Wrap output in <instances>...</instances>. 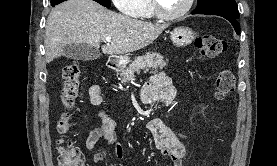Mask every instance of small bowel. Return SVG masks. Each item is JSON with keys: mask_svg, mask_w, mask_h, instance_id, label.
<instances>
[{"mask_svg": "<svg viewBox=\"0 0 277 166\" xmlns=\"http://www.w3.org/2000/svg\"><path fill=\"white\" fill-rule=\"evenodd\" d=\"M176 90L170 78L163 72L152 76L151 82L146 84L141 91V99L146 103L163 101L169 105L173 102ZM91 103L95 106L102 104L101 87L93 85L89 89ZM100 125L91 130L86 139V148L94 150L100 140L113 145L112 153L117 158L123 157L122 146L116 142L115 122L104 111H100ZM149 130L153 136L156 147L162 155L168 158L173 166H183V158L186 154V147L183 141L184 136L176 133L167 127L160 119H153L149 122ZM105 158L104 152H96L93 156L95 162Z\"/></svg>", "mask_w": 277, "mask_h": 166, "instance_id": "c3829d8e", "label": "small bowel"}]
</instances>
